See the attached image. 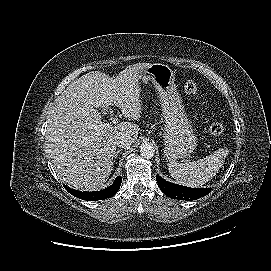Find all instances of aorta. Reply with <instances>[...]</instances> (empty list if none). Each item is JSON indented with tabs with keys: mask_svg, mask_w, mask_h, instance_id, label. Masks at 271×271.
Masks as SVG:
<instances>
[{
	"mask_svg": "<svg viewBox=\"0 0 271 271\" xmlns=\"http://www.w3.org/2000/svg\"><path fill=\"white\" fill-rule=\"evenodd\" d=\"M140 155L144 158H152L155 154V149L150 143H142L139 147Z\"/></svg>",
	"mask_w": 271,
	"mask_h": 271,
	"instance_id": "obj_1",
	"label": "aorta"
}]
</instances>
